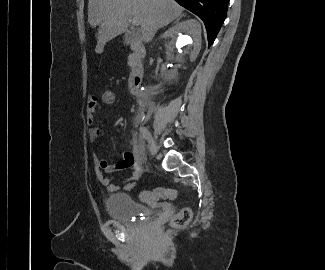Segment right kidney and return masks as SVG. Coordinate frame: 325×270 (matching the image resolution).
Wrapping results in <instances>:
<instances>
[{
  "mask_svg": "<svg viewBox=\"0 0 325 270\" xmlns=\"http://www.w3.org/2000/svg\"><path fill=\"white\" fill-rule=\"evenodd\" d=\"M162 37L168 41L165 43V62L158 70L173 82L187 69L189 62L197 58L201 49V27L196 20H186L167 30Z\"/></svg>",
  "mask_w": 325,
  "mask_h": 270,
  "instance_id": "obj_1",
  "label": "right kidney"
}]
</instances>
